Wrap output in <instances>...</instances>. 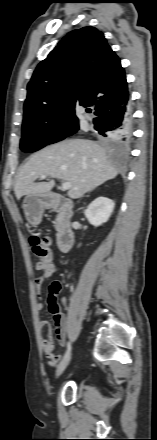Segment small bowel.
<instances>
[{
  "label": "small bowel",
  "mask_w": 157,
  "mask_h": 440,
  "mask_svg": "<svg viewBox=\"0 0 157 440\" xmlns=\"http://www.w3.org/2000/svg\"><path fill=\"white\" fill-rule=\"evenodd\" d=\"M36 270L38 272H40V275L35 280L36 290H37V293L40 295L41 285H42L44 279L47 277L53 276L56 273L57 269H56L54 263L52 261H50L47 263L37 262L36 263ZM36 309L38 311H42L43 304L38 303L36 305ZM49 312L51 313V315L53 317L55 337H56L58 343L61 346H64L65 340H66V318H65V315L61 312L59 307L54 310L49 307ZM39 326H40V328L48 327L47 337L43 338L41 340V346H42L43 352L46 354V356L49 359V362H48L49 366L54 367L58 363V361L61 359V355L53 353L52 329H51L50 324L47 320H41L39 322Z\"/></svg>",
  "instance_id": "1"
}]
</instances>
